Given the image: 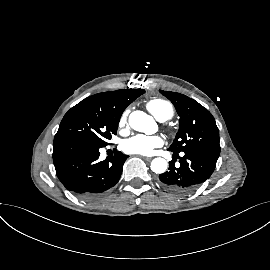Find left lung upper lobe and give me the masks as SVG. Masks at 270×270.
Here are the masks:
<instances>
[{
  "label": "left lung upper lobe",
  "instance_id": "1",
  "mask_svg": "<svg viewBox=\"0 0 270 270\" xmlns=\"http://www.w3.org/2000/svg\"><path fill=\"white\" fill-rule=\"evenodd\" d=\"M176 108L179 130L168 150L201 151L219 157V130L211 113L197 101L176 92L160 90Z\"/></svg>",
  "mask_w": 270,
  "mask_h": 270
}]
</instances>
